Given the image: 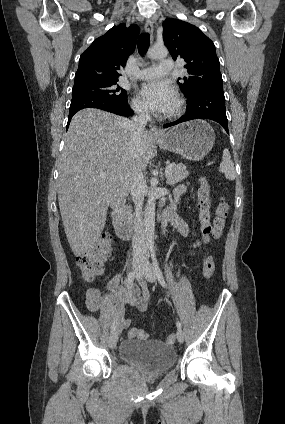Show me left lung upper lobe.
<instances>
[{"mask_svg": "<svg viewBox=\"0 0 285 424\" xmlns=\"http://www.w3.org/2000/svg\"><path fill=\"white\" fill-rule=\"evenodd\" d=\"M163 39L173 59L186 62L188 75L178 84L187 98L199 89L223 86L215 46L196 26L168 18L163 23Z\"/></svg>", "mask_w": 285, "mask_h": 424, "instance_id": "1", "label": "left lung upper lobe"}]
</instances>
